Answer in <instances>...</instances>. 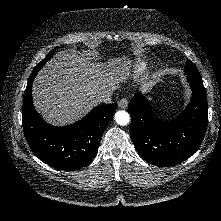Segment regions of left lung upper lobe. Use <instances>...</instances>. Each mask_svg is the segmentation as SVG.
Wrapping results in <instances>:
<instances>
[{
  "label": "left lung upper lobe",
  "mask_w": 221,
  "mask_h": 221,
  "mask_svg": "<svg viewBox=\"0 0 221 221\" xmlns=\"http://www.w3.org/2000/svg\"><path fill=\"white\" fill-rule=\"evenodd\" d=\"M185 73L187 75V80L190 83L203 85L202 78L197 70V67L190 60H187L186 62Z\"/></svg>",
  "instance_id": "left-lung-upper-lobe-1"
}]
</instances>
